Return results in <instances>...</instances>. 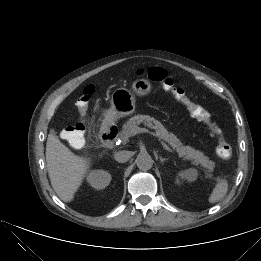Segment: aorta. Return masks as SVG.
<instances>
[{
    "label": "aorta",
    "instance_id": "obj_1",
    "mask_svg": "<svg viewBox=\"0 0 261 261\" xmlns=\"http://www.w3.org/2000/svg\"><path fill=\"white\" fill-rule=\"evenodd\" d=\"M137 167L140 170L147 171L153 166V159L147 153L139 154L135 160Z\"/></svg>",
    "mask_w": 261,
    "mask_h": 261
}]
</instances>
